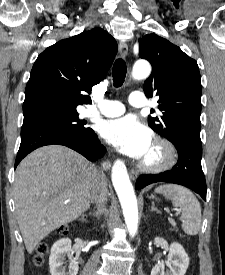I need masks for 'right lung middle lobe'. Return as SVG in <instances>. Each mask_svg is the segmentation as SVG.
<instances>
[{
    "label": "right lung middle lobe",
    "instance_id": "right-lung-middle-lobe-1",
    "mask_svg": "<svg viewBox=\"0 0 225 275\" xmlns=\"http://www.w3.org/2000/svg\"><path fill=\"white\" fill-rule=\"evenodd\" d=\"M43 122L61 126L76 133L85 134L93 130L86 127L82 120L78 118V112L72 111H47L24 116L23 124Z\"/></svg>",
    "mask_w": 225,
    "mask_h": 275
}]
</instances>
